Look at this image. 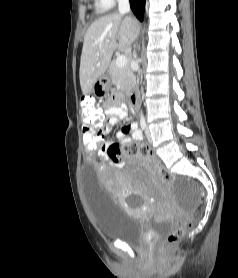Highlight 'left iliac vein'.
Here are the masks:
<instances>
[{"instance_id": "obj_1", "label": "left iliac vein", "mask_w": 238, "mask_h": 278, "mask_svg": "<svg viewBox=\"0 0 238 278\" xmlns=\"http://www.w3.org/2000/svg\"><path fill=\"white\" fill-rule=\"evenodd\" d=\"M146 137L149 141H151V134H150V130L148 127H146V131H145Z\"/></svg>"}]
</instances>
